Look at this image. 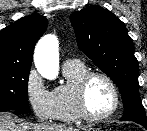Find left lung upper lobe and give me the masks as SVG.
<instances>
[{
    "label": "left lung upper lobe",
    "mask_w": 147,
    "mask_h": 131,
    "mask_svg": "<svg viewBox=\"0 0 147 131\" xmlns=\"http://www.w3.org/2000/svg\"><path fill=\"white\" fill-rule=\"evenodd\" d=\"M78 47L118 86L124 105L121 121L147 124L138 84L133 40L113 13L91 5L70 15Z\"/></svg>",
    "instance_id": "left-lung-upper-lobe-1"
}]
</instances>
